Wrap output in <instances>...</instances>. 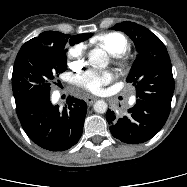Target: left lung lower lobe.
<instances>
[{"label": "left lung lower lobe", "mask_w": 187, "mask_h": 187, "mask_svg": "<svg viewBox=\"0 0 187 187\" xmlns=\"http://www.w3.org/2000/svg\"><path fill=\"white\" fill-rule=\"evenodd\" d=\"M169 113V107L137 99L134 107L123 118H116L108 110L106 119L115 138L125 143L138 144L154 137L164 126Z\"/></svg>", "instance_id": "0a47b994"}]
</instances>
